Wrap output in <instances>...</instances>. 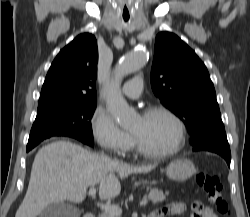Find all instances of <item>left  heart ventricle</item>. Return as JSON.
<instances>
[{
    "label": "left heart ventricle",
    "mask_w": 250,
    "mask_h": 217,
    "mask_svg": "<svg viewBox=\"0 0 250 217\" xmlns=\"http://www.w3.org/2000/svg\"><path fill=\"white\" fill-rule=\"evenodd\" d=\"M130 132L143 146L156 152L171 149L178 136L174 122L161 113L138 117L132 124Z\"/></svg>",
    "instance_id": "left-heart-ventricle-1"
}]
</instances>
